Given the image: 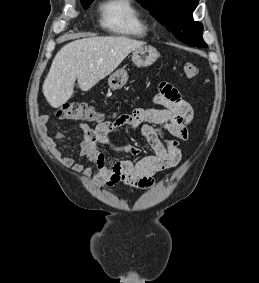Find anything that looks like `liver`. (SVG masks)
I'll list each match as a JSON object with an SVG mask.
<instances>
[{"mask_svg":"<svg viewBox=\"0 0 259 283\" xmlns=\"http://www.w3.org/2000/svg\"><path fill=\"white\" fill-rule=\"evenodd\" d=\"M144 44L124 36L88 37L66 44L55 55L43 83L47 102L53 108L66 103L73 95L76 79L82 91L90 90Z\"/></svg>","mask_w":259,"mask_h":283,"instance_id":"liver-1","label":"liver"}]
</instances>
